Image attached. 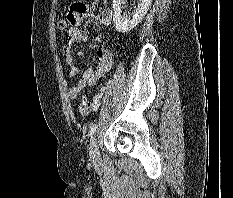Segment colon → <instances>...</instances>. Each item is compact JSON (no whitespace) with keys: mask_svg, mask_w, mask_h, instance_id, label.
Returning a JSON list of instances; mask_svg holds the SVG:
<instances>
[{"mask_svg":"<svg viewBox=\"0 0 233 198\" xmlns=\"http://www.w3.org/2000/svg\"><path fill=\"white\" fill-rule=\"evenodd\" d=\"M57 27L59 30H65L67 28V21L65 19H59L57 22ZM97 103H95L96 105ZM92 108V104L85 98L82 97L78 103V111L81 115H87Z\"/></svg>","mask_w":233,"mask_h":198,"instance_id":"1","label":"colon"}]
</instances>
